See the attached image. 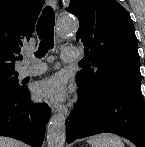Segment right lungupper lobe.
I'll return each instance as SVG.
<instances>
[{
    "label": "right lung upper lobe",
    "mask_w": 145,
    "mask_h": 147,
    "mask_svg": "<svg viewBox=\"0 0 145 147\" xmlns=\"http://www.w3.org/2000/svg\"><path fill=\"white\" fill-rule=\"evenodd\" d=\"M44 0H0V74L17 73L15 60L29 40Z\"/></svg>",
    "instance_id": "right-lung-upper-lobe-1"
}]
</instances>
